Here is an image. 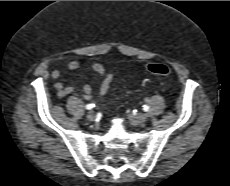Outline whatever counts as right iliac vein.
<instances>
[{"label":"right iliac vein","mask_w":230,"mask_h":186,"mask_svg":"<svg viewBox=\"0 0 230 186\" xmlns=\"http://www.w3.org/2000/svg\"><path fill=\"white\" fill-rule=\"evenodd\" d=\"M95 118H96V115H95V113L93 111H90V112L87 113V119L89 121H94Z\"/></svg>","instance_id":"1"}]
</instances>
